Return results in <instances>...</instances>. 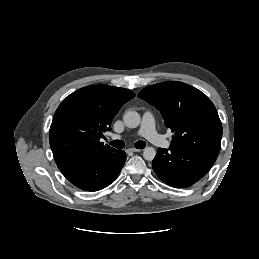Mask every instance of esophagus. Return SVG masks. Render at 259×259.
Returning a JSON list of instances; mask_svg holds the SVG:
<instances>
[{"instance_id":"34e87169","label":"esophagus","mask_w":259,"mask_h":259,"mask_svg":"<svg viewBox=\"0 0 259 259\" xmlns=\"http://www.w3.org/2000/svg\"><path fill=\"white\" fill-rule=\"evenodd\" d=\"M128 151H130V152H140L141 149L130 148V149H128Z\"/></svg>"}]
</instances>
